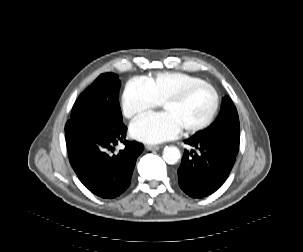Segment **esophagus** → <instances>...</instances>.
Returning a JSON list of instances; mask_svg holds the SVG:
<instances>
[{
    "label": "esophagus",
    "instance_id": "esophagus-1",
    "mask_svg": "<svg viewBox=\"0 0 303 252\" xmlns=\"http://www.w3.org/2000/svg\"><path fill=\"white\" fill-rule=\"evenodd\" d=\"M145 147H146V149H153L154 148V146H151V145H146Z\"/></svg>",
    "mask_w": 303,
    "mask_h": 252
}]
</instances>
